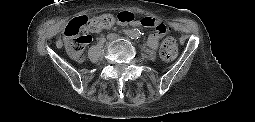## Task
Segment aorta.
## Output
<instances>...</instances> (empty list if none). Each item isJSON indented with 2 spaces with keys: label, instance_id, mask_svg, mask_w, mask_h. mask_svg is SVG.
<instances>
[{
  "label": "aorta",
  "instance_id": "obj_1",
  "mask_svg": "<svg viewBox=\"0 0 255 122\" xmlns=\"http://www.w3.org/2000/svg\"><path fill=\"white\" fill-rule=\"evenodd\" d=\"M140 30L139 29H132V30H129L128 31V35L131 37V38H139L140 37Z\"/></svg>",
  "mask_w": 255,
  "mask_h": 122
}]
</instances>
